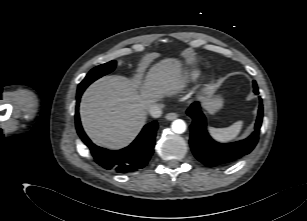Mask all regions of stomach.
Instances as JSON below:
<instances>
[{
    "label": "stomach",
    "instance_id": "0dacf381",
    "mask_svg": "<svg viewBox=\"0 0 307 221\" xmlns=\"http://www.w3.org/2000/svg\"><path fill=\"white\" fill-rule=\"evenodd\" d=\"M223 105V99L220 95H217L214 99H213V105H212V110H217L219 108H221Z\"/></svg>",
    "mask_w": 307,
    "mask_h": 221
}]
</instances>
